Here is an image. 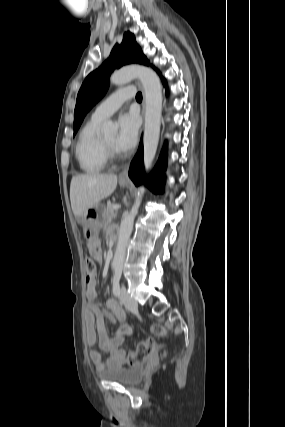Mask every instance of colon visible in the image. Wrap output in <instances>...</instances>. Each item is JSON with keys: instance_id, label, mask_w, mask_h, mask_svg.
<instances>
[{"instance_id": "1", "label": "colon", "mask_w": 285, "mask_h": 427, "mask_svg": "<svg viewBox=\"0 0 285 427\" xmlns=\"http://www.w3.org/2000/svg\"><path fill=\"white\" fill-rule=\"evenodd\" d=\"M85 270H86V281L90 282L96 275V264L90 257L85 259ZM151 332L155 336H162L164 329L160 325H152ZM156 350V344L154 339L150 338L138 343L136 349L131 351L127 356V364L134 366L147 358H149Z\"/></svg>"}]
</instances>
